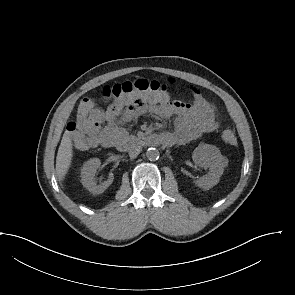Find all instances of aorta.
I'll use <instances>...</instances> for the list:
<instances>
[{"instance_id":"obj_1","label":"aorta","mask_w":295,"mask_h":295,"mask_svg":"<svg viewBox=\"0 0 295 295\" xmlns=\"http://www.w3.org/2000/svg\"><path fill=\"white\" fill-rule=\"evenodd\" d=\"M146 156L149 160L155 161L159 159L160 153L156 148H149L146 152Z\"/></svg>"}]
</instances>
